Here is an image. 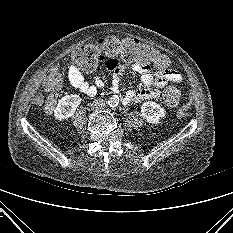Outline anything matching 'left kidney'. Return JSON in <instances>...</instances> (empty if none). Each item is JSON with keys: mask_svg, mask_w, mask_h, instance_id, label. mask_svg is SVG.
Wrapping results in <instances>:
<instances>
[{"mask_svg": "<svg viewBox=\"0 0 233 233\" xmlns=\"http://www.w3.org/2000/svg\"><path fill=\"white\" fill-rule=\"evenodd\" d=\"M142 117L151 124H157L159 120L165 117L166 111L159 104L148 101L141 106Z\"/></svg>", "mask_w": 233, "mask_h": 233, "instance_id": "obj_1", "label": "left kidney"}]
</instances>
